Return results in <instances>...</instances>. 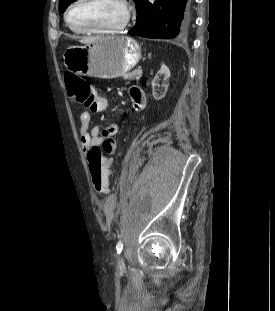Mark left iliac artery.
Listing matches in <instances>:
<instances>
[{
	"label": "left iliac artery",
	"instance_id": "1",
	"mask_svg": "<svg viewBox=\"0 0 275 311\" xmlns=\"http://www.w3.org/2000/svg\"><path fill=\"white\" fill-rule=\"evenodd\" d=\"M122 249H123V242L120 240V241H118V243L116 245L117 253L120 254Z\"/></svg>",
	"mask_w": 275,
	"mask_h": 311
}]
</instances>
